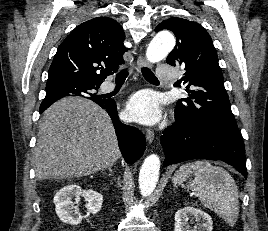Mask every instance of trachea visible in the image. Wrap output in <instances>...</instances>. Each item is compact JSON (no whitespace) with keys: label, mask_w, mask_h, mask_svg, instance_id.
Wrapping results in <instances>:
<instances>
[{"label":"trachea","mask_w":268,"mask_h":231,"mask_svg":"<svg viewBox=\"0 0 268 231\" xmlns=\"http://www.w3.org/2000/svg\"><path fill=\"white\" fill-rule=\"evenodd\" d=\"M141 69H142V74L146 80L158 82V79L155 77L154 73L149 68L142 67ZM127 76H128V71L127 69H124L116 75V78H126Z\"/></svg>","instance_id":"obj_1"}]
</instances>
